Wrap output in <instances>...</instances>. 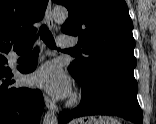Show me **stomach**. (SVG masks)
<instances>
[{
  "label": "stomach",
  "instance_id": "0dacf381",
  "mask_svg": "<svg viewBox=\"0 0 156 124\" xmlns=\"http://www.w3.org/2000/svg\"><path fill=\"white\" fill-rule=\"evenodd\" d=\"M80 121H73L71 124H79ZM115 121H108V120H89L86 121L85 123L81 124H113Z\"/></svg>",
  "mask_w": 156,
  "mask_h": 124
}]
</instances>
